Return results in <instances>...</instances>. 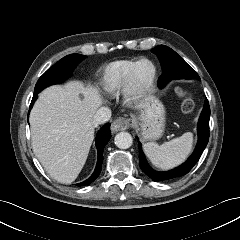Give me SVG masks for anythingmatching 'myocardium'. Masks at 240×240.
<instances>
[{
    "mask_svg": "<svg viewBox=\"0 0 240 240\" xmlns=\"http://www.w3.org/2000/svg\"><path fill=\"white\" fill-rule=\"evenodd\" d=\"M147 63L151 66V75L145 83H140L135 79L138 67ZM157 67L155 63L147 58L137 60L129 69L125 78L124 93L131 103H139L145 100L154 90L157 81Z\"/></svg>",
    "mask_w": 240,
    "mask_h": 240,
    "instance_id": "myocardium-1",
    "label": "myocardium"
}]
</instances>
